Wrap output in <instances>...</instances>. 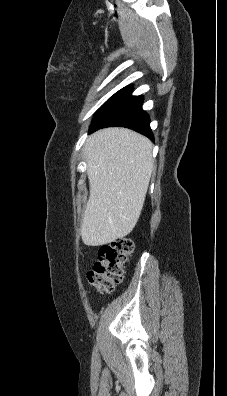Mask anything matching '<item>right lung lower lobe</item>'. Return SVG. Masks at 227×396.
<instances>
[{
	"label": "right lung lower lobe",
	"instance_id": "right-lung-lower-lobe-1",
	"mask_svg": "<svg viewBox=\"0 0 227 396\" xmlns=\"http://www.w3.org/2000/svg\"><path fill=\"white\" fill-rule=\"evenodd\" d=\"M132 85L114 94L95 113L89 132L105 127L120 126L133 129L154 140L149 117L142 110L143 97L132 96Z\"/></svg>",
	"mask_w": 227,
	"mask_h": 396
}]
</instances>
